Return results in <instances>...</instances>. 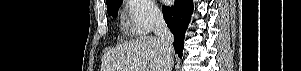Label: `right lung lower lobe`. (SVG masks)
I'll list each match as a JSON object with an SVG mask.
<instances>
[{
  "label": "right lung lower lobe",
  "instance_id": "98d812e1",
  "mask_svg": "<svg viewBox=\"0 0 301 71\" xmlns=\"http://www.w3.org/2000/svg\"><path fill=\"white\" fill-rule=\"evenodd\" d=\"M163 16L167 26L174 35V48L182 57L184 35L193 12L192 0H175L174 6H163Z\"/></svg>",
  "mask_w": 301,
  "mask_h": 71
}]
</instances>
